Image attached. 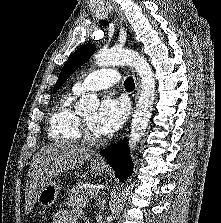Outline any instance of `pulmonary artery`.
<instances>
[{
	"instance_id": "pulmonary-artery-1",
	"label": "pulmonary artery",
	"mask_w": 221,
	"mask_h": 223,
	"mask_svg": "<svg viewBox=\"0 0 221 223\" xmlns=\"http://www.w3.org/2000/svg\"><path fill=\"white\" fill-rule=\"evenodd\" d=\"M120 78V73L114 69H100L77 81L72 90L76 94H81L85 91L103 90L117 84Z\"/></svg>"
}]
</instances>
